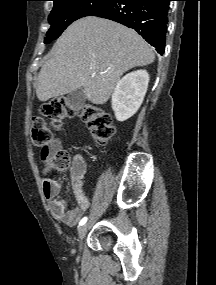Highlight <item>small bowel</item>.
<instances>
[{"label": "small bowel", "instance_id": "obj_1", "mask_svg": "<svg viewBox=\"0 0 216 285\" xmlns=\"http://www.w3.org/2000/svg\"><path fill=\"white\" fill-rule=\"evenodd\" d=\"M61 150V143L53 141L48 148L42 149L41 158L46 160ZM86 162L81 156H75L70 170L71 187L77 206L68 209L65 200L57 198L61 186L57 181L45 178L43 180V193L49 201L51 214L69 226H75L89 207V200L83 191V178L86 173Z\"/></svg>", "mask_w": 216, "mask_h": 285}]
</instances>
